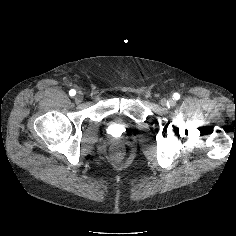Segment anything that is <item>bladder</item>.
I'll return each mask as SVG.
<instances>
[{"label":"bladder","instance_id":"31cf9c89","mask_svg":"<svg viewBox=\"0 0 236 236\" xmlns=\"http://www.w3.org/2000/svg\"><path fill=\"white\" fill-rule=\"evenodd\" d=\"M128 126L123 122H114L110 125V132L114 134H122L126 132Z\"/></svg>","mask_w":236,"mask_h":236}]
</instances>
